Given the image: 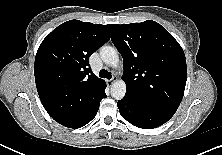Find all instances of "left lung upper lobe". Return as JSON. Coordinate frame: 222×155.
Listing matches in <instances>:
<instances>
[{
	"mask_svg": "<svg viewBox=\"0 0 222 155\" xmlns=\"http://www.w3.org/2000/svg\"><path fill=\"white\" fill-rule=\"evenodd\" d=\"M123 57L124 98L174 114L184 95L187 68L182 47L155 21L109 24Z\"/></svg>",
	"mask_w": 222,
	"mask_h": 155,
	"instance_id": "5c2ea615",
	"label": "left lung upper lobe"
}]
</instances>
